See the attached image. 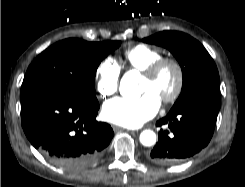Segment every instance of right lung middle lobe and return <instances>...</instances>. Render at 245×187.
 Here are the masks:
<instances>
[{"mask_svg": "<svg viewBox=\"0 0 245 187\" xmlns=\"http://www.w3.org/2000/svg\"><path fill=\"white\" fill-rule=\"evenodd\" d=\"M121 42L59 41L43 51L28 67L20 98L39 92H61L98 103L95 74L100 62Z\"/></svg>", "mask_w": 245, "mask_h": 187, "instance_id": "obj_1", "label": "right lung middle lobe"}]
</instances>
